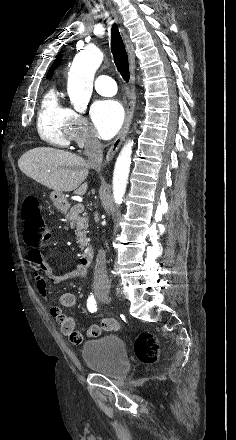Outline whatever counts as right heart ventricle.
<instances>
[{
  "instance_id": "right-heart-ventricle-1",
  "label": "right heart ventricle",
  "mask_w": 236,
  "mask_h": 440,
  "mask_svg": "<svg viewBox=\"0 0 236 440\" xmlns=\"http://www.w3.org/2000/svg\"><path fill=\"white\" fill-rule=\"evenodd\" d=\"M71 110L52 86L44 94L38 113V132L43 140L56 147H67L71 142Z\"/></svg>"
}]
</instances>
